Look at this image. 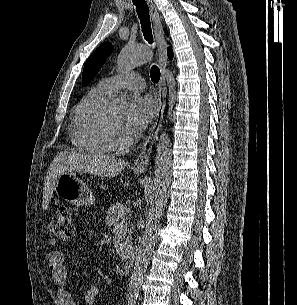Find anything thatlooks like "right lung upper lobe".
<instances>
[{"label": "right lung upper lobe", "instance_id": "right-lung-upper-lobe-1", "mask_svg": "<svg viewBox=\"0 0 297 305\" xmlns=\"http://www.w3.org/2000/svg\"><path fill=\"white\" fill-rule=\"evenodd\" d=\"M167 54H168L169 59L172 60V58H173V51H172V49L170 47H168V49H167Z\"/></svg>", "mask_w": 297, "mask_h": 305}]
</instances>
